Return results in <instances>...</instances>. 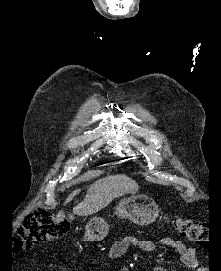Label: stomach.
<instances>
[{
	"label": "stomach",
	"mask_w": 221,
	"mask_h": 271,
	"mask_svg": "<svg viewBox=\"0 0 221 271\" xmlns=\"http://www.w3.org/2000/svg\"><path fill=\"white\" fill-rule=\"evenodd\" d=\"M154 197H124L116 207V215L129 217L138 225H146L153 221V213H158ZM109 225L102 219H90L85 225V235L89 241H100L106 235Z\"/></svg>",
	"instance_id": "1"
}]
</instances>
